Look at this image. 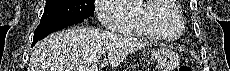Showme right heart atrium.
I'll use <instances>...</instances> for the list:
<instances>
[{"instance_id": "obj_1", "label": "right heart atrium", "mask_w": 230, "mask_h": 71, "mask_svg": "<svg viewBox=\"0 0 230 71\" xmlns=\"http://www.w3.org/2000/svg\"><path fill=\"white\" fill-rule=\"evenodd\" d=\"M126 0H97L96 14L100 22L108 29L115 30V26L123 19L121 13L115 11V7Z\"/></svg>"}]
</instances>
